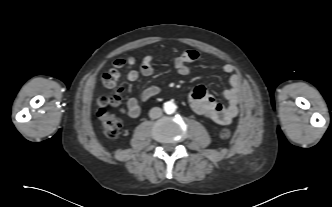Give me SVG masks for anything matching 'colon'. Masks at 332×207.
<instances>
[{
	"mask_svg": "<svg viewBox=\"0 0 332 207\" xmlns=\"http://www.w3.org/2000/svg\"><path fill=\"white\" fill-rule=\"evenodd\" d=\"M120 103L121 97L118 94L111 97L103 95L98 98V117L102 122L104 134L109 139L118 137L122 129V122L117 115L109 112L107 107H118ZM220 135L223 139H228L231 137V131L227 128L222 129Z\"/></svg>",
	"mask_w": 332,
	"mask_h": 207,
	"instance_id": "1",
	"label": "colon"
}]
</instances>
